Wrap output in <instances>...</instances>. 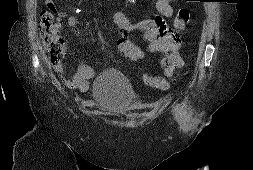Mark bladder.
I'll use <instances>...</instances> for the list:
<instances>
[{
  "label": "bladder",
  "instance_id": "bladder-1",
  "mask_svg": "<svg viewBox=\"0 0 253 170\" xmlns=\"http://www.w3.org/2000/svg\"><path fill=\"white\" fill-rule=\"evenodd\" d=\"M135 97L133 87L127 77L116 69L104 70L93 83L94 105L110 115H124Z\"/></svg>",
  "mask_w": 253,
  "mask_h": 170
}]
</instances>
